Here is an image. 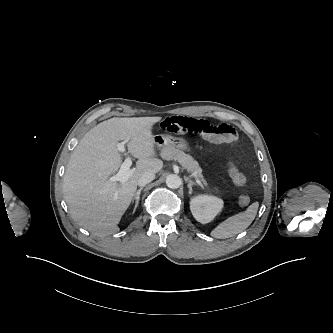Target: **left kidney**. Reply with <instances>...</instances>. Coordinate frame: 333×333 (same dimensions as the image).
Instances as JSON below:
<instances>
[{
    "label": "left kidney",
    "instance_id": "obj_1",
    "mask_svg": "<svg viewBox=\"0 0 333 333\" xmlns=\"http://www.w3.org/2000/svg\"><path fill=\"white\" fill-rule=\"evenodd\" d=\"M222 208L223 201L210 195L195 196L190 202V209L194 218L203 224L211 222Z\"/></svg>",
    "mask_w": 333,
    "mask_h": 333
}]
</instances>
